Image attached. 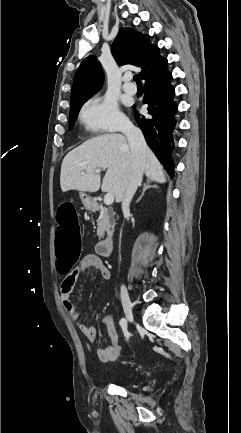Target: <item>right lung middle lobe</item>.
Listing matches in <instances>:
<instances>
[{
  "mask_svg": "<svg viewBox=\"0 0 241 433\" xmlns=\"http://www.w3.org/2000/svg\"><path fill=\"white\" fill-rule=\"evenodd\" d=\"M87 100L88 99L79 101L76 105L71 107L70 115H69V130H71L73 128L75 120H76L78 113L80 111V108Z\"/></svg>",
  "mask_w": 241,
  "mask_h": 433,
  "instance_id": "dd1d6c3e",
  "label": "right lung middle lobe"
}]
</instances>
